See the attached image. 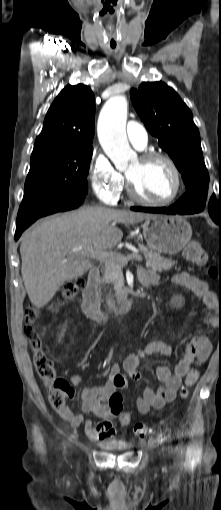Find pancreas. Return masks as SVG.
<instances>
[{
    "instance_id": "cf45deb5",
    "label": "pancreas",
    "mask_w": 221,
    "mask_h": 510,
    "mask_svg": "<svg viewBox=\"0 0 221 510\" xmlns=\"http://www.w3.org/2000/svg\"><path fill=\"white\" fill-rule=\"evenodd\" d=\"M138 249L143 253L146 259V267L155 271H167L177 263L172 259H166L157 252L148 249L142 244H138ZM117 255H121L116 253ZM126 265L119 259H114L109 264H105L102 268L104 277L103 282L118 285L122 282V268Z\"/></svg>"
}]
</instances>
